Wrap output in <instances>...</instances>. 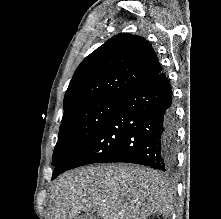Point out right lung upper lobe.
Returning <instances> with one entry per match:
<instances>
[{"instance_id":"obj_1","label":"right lung upper lobe","mask_w":221,"mask_h":219,"mask_svg":"<svg viewBox=\"0 0 221 219\" xmlns=\"http://www.w3.org/2000/svg\"><path fill=\"white\" fill-rule=\"evenodd\" d=\"M161 70L154 49L144 38L120 33L78 66L64 97V111L91 100L122 99Z\"/></svg>"}]
</instances>
